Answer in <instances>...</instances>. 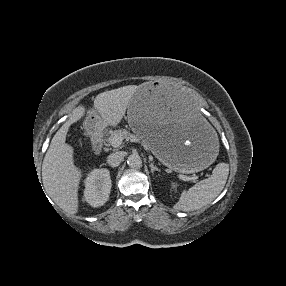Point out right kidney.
Wrapping results in <instances>:
<instances>
[{"mask_svg":"<svg viewBox=\"0 0 286 286\" xmlns=\"http://www.w3.org/2000/svg\"><path fill=\"white\" fill-rule=\"evenodd\" d=\"M112 182L108 169H94L85 180L84 199L91 206L104 205L109 199Z\"/></svg>","mask_w":286,"mask_h":286,"instance_id":"1","label":"right kidney"}]
</instances>
